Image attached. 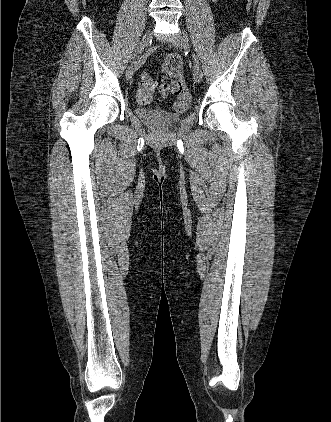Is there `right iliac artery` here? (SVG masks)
Here are the masks:
<instances>
[{"instance_id":"82829eb1","label":"right iliac artery","mask_w":331,"mask_h":422,"mask_svg":"<svg viewBox=\"0 0 331 422\" xmlns=\"http://www.w3.org/2000/svg\"><path fill=\"white\" fill-rule=\"evenodd\" d=\"M142 51V45H139V47L133 52V58L131 61V64H134V62L137 61L138 54Z\"/></svg>"}]
</instances>
